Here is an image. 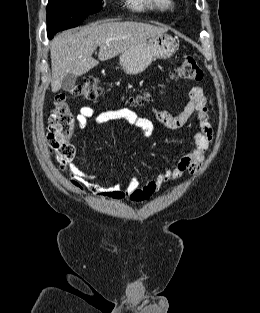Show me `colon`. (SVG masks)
Here are the masks:
<instances>
[{
    "label": "colon",
    "instance_id": "obj_1",
    "mask_svg": "<svg viewBox=\"0 0 260 313\" xmlns=\"http://www.w3.org/2000/svg\"><path fill=\"white\" fill-rule=\"evenodd\" d=\"M173 77L188 81H200L203 72L194 57L185 56L174 72ZM73 93L84 99L94 100L101 96L102 89L96 77H88L81 84L74 87ZM148 99L147 95H141L136 97L134 102L137 105H142ZM75 120V113L67 102L65 95H57L54 108L49 117L46 138L53 158L62 166L72 161L75 156V146L71 141Z\"/></svg>",
    "mask_w": 260,
    "mask_h": 313
}]
</instances>
